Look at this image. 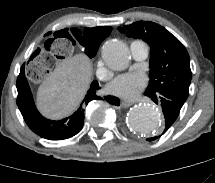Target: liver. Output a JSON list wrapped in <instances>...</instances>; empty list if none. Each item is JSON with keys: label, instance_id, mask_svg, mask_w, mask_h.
<instances>
[{"label": "liver", "instance_id": "6515ba94", "mask_svg": "<svg viewBox=\"0 0 215 183\" xmlns=\"http://www.w3.org/2000/svg\"><path fill=\"white\" fill-rule=\"evenodd\" d=\"M92 65L84 54L59 62L38 88L37 107L50 119L71 114L83 100L91 82Z\"/></svg>", "mask_w": 215, "mask_h": 183}]
</instances>
